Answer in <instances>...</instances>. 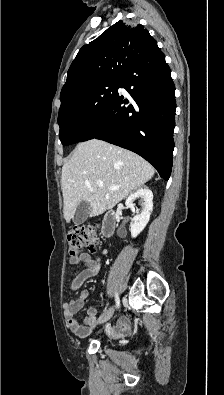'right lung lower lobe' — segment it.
<instances>
[{
	"label": "right lung lower lobe",
	"instance_id": "right-lung-lower-lobe-1",
	"mask_svg": "<svg viewBox=\"0 0 224 395\" xmlns=\"http://www.w3.org/2000/svg\"><path fill=\"white\" fill-rule=\"evenodd\" d=\"M156 44L146 49L121 78L118 92L81 141L100 139L131 150L169 179L174 149L175 87Z\"/></svg>",
	"mask_w": 224,
	"mask_h": 395
}]
</instances>
